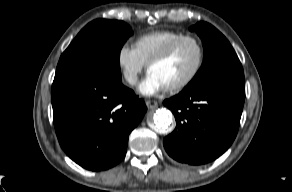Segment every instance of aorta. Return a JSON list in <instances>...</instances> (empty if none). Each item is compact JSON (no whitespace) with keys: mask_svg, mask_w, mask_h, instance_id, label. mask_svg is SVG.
<instances>
[{"mask_svg":"<svg viewBox=\"0 0 292 192\" xmlns=\"http://www.w3.org/2000/svg\"><path fill=\"white\" fill-rule=\"evenodd\" d=\"M155 130L159 133H168L173 116L169 110L158 109L153 116Z\"/></svg>","mask_w":292,"mask_h":192,"instance_id":"1","label":"aorta"}]
</instances>
